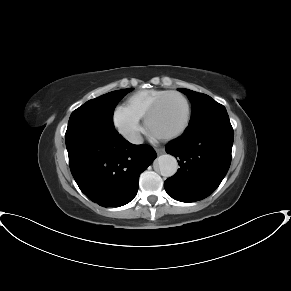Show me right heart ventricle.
<instances>
[{
    "label": "right heart ventricle",
    "mask_w": 291,
    "mask_h": 291,
    "mask_svg": "<svg viewBox=\"0 0 291 291\" xmlns=\"http://www.w3.org/2000/svg\"><path fill=\"white\" fill-rule=\"evenodd\" d=\"M167 92L169 91L163 89L140 90L127 97L125 106L140 118H144L152 105Z\"/></svg>",
    "instance_id": "right-heart-ventricle-1"
}]
</instances>
